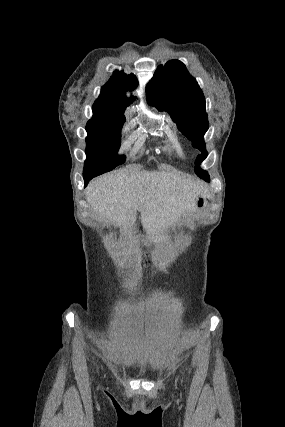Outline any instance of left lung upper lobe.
<instances>
[{
  "mask_svg": "<svg viewBox=\"0 0 285 427\" xmlns=\"http://www.w3.org/2000/svg\"><path fill=\"white\" fill-rule=\"evenodd\" d=\"M147 102L159 111L169 112L178 129L192 145L201 151L195 161V173L210 181L200 163L207 157L203 136L209 128L205 111V98L197 81L178 60L160 65L146 87Z\"/></svg>",
  "mask_w": 285,
  "mask_h": 427,
  "instance_id": "obj_1",
  "label": "left lung upper lobe"
}]
</instances>
